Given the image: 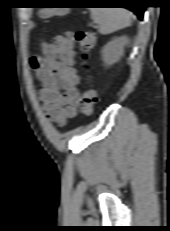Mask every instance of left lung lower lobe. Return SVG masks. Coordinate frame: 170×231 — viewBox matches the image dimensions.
I'll return each mask as SVG.
<instances>
[{"label": "left lung lower lobe", "instance_id": "0a47b994", "mask_svg": "<svg viewBox=\"0 0 170 231\" xmlns=\"http://www.w3.org/2000/svg\"><path fill=\"white\" fill-rule=\"evenodd\" d=\"M126 3L129 4V6H120V7H126L130 9L138 16L139 19L143 18L145 7L140 5V2L138 0H130Z\"/></svg>", "mask_w": 170, "mask_h": 231}]
</instances>
